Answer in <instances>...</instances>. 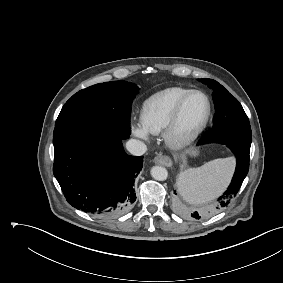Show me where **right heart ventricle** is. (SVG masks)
I'll list each match as a JSON object with an SVG mask.
<instances>
[{"instance_id": "obj_1", "label": "right heart ventricle", "mask_w": 283, "mask_h": 283, "mask_svg": "<svg viewBox=\"0 0 283 283\" xmlns=\"http://www.w3.org/2000/svg\"><path fill=\"white\" fill-rule=\"evenodd\" d=\"M188 91L189 89L183 87H171L146 99L140 114L141 125L144 129L154 135L163 132L175 105Z\"/></svg>"}]
</instances>
